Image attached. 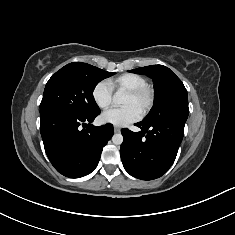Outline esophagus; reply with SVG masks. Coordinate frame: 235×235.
<instances>
[{
  "label": "esophagus",
  "mask_w": 235,
  "mask_h": 235,
  "mask_svg": "<svg viewBox=\"0 0 235 235\" xmlns=\"http://www.w3.org/2000/svg\"><path fill=\"white\" fill-rule=\"evenodd\" d=\"M120 130H121V129H120L119 127L114 126V132H115V133H119V132H120Z\"/></svg>",
  "instance_id": "1"
}]
</instances>
